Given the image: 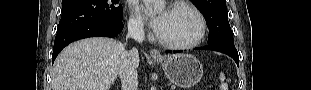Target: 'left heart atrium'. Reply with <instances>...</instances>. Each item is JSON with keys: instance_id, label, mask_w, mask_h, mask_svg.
Returning a JSON list of instances; mask_svg holds the SVG:
<instances>
[{"instance_id": "39dd6f15", "label": "left heart atrium", "mask_w": 311, "mask_h": 90, "mask_svg": "<svg viewBox=\"0 0 311 90\" xmlns=\"http://www.w3.org/2000/svg\"><path fill=\"white\" fill-rule=\"evenodd\" d=\"M164 22H165V14L164 13H162V14L151 19V24L157 33L162 29Z\"/></svg>"}]
</instances>
